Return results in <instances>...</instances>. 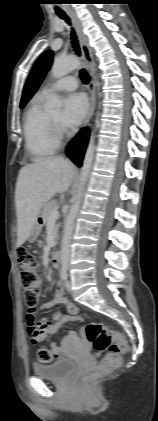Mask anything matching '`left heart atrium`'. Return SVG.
<instances>
[{
  "label": "left heart atrium",
  "instance_id": "1",
  "mask_svg": "<svg viewBox=\"0 0 158 421\" xmlns=\"http://www.w3.org/2000/svg\"><path fill=\"white\" fill-rule=\"evenodd\" d=\"M88 109L87 100L79 93L70 94L64 100V110L61 116V124L66 128L79 125Z\"/></svg>",
  "mask_w": 158,
  "mask_h": 421
}]
</instances>
